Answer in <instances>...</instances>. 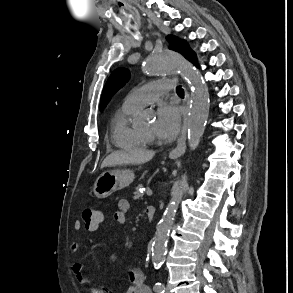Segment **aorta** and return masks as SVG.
Returning a JSON list of instances; mask_svg holds the SVG:
<instances>
[{"label":"aorta","instance_id":"aorta-1","mask_svg":"<svg viewBox=\"0 0 293 293\" xmlns=\"http://www.w3.org/2000/svg\"><path fill=\"white\" fill-rule=\"evenodd\" d=\"M144 70L150 76L179 73L189 84L191 105L188 120V144L191 150H195L204 133L209 115L208 89L201 76L183 56L172 50L152 53L145 60ZM186 189L187 183L182 181L157 224L152 246L154 267H159L165 258L169 232L173 225L178 204L182 200Z\"/></svg>","mask_w":293,"mask_h":293}]
</instances>
